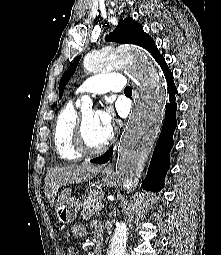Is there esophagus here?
Masks as SVG:
<instances>
[{"label": "esophagus", "mask_w": 221, "mask_h": 255, "mask_svg": "<svg viewBox=\"0 0 221 255\" xmlns=\"http://www.w3.org/2000/svg\"><path fill=\"white\" fill-rule=\"evenodd\" d=\"M113 160H114V157H113ZM103 170H104L105 172H112V171H113L112 163H111V162H108V163L104 166Z\"/></svg>", "instance_id": "esophagus-1"}]
</instances>
